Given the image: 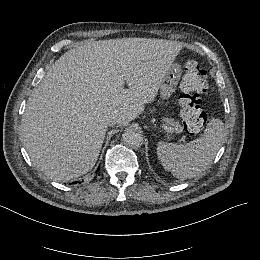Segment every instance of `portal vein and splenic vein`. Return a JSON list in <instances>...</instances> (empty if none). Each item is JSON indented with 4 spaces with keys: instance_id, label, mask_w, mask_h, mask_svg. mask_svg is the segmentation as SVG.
Returning <instances> with one entry per match:
<instances>
[{
    "instance_id": "18ae733b",
    "label": "portal vein and splenic vein",
    "mask_w": 260,
    "mask_h": 260,
    "mask_svg": "<svg viewBox=\"0 0 260 260\" xmlns=\"http://www.w3.org/2000/svg\"><path fill=\"white\" fill-rule=\"evenodd\" d=\"M161 129H162V130H165V131L168 132V133L176 132V130H175L173 127L166 126L165 123H162V124H161Z\"/></svg>"
}]
</instances>
